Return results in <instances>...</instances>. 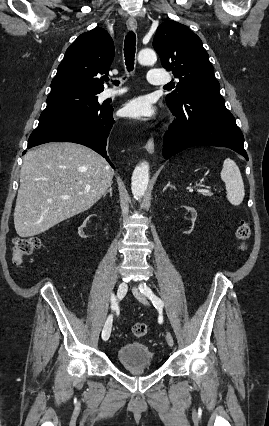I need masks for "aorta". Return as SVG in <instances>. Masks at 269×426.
<instances>
[{"label": "aorta", "mask_w": 269, "mask_h": 426, "mask_svg": "<svg viewBox=\"0 0 269 426\" xmlns=\"http://www.w3.org/2000/svg\"><path fill=\"white\" fill-rule=\"evenodd\" d=\"M157 61V55L152 49H143L138 53V62L142 65H153ZM149 182V164L143 161L135 167L131 178V190L136 199L141 198Z\"/></svg>", "instance_id": "obj_1"}]
</instances>
